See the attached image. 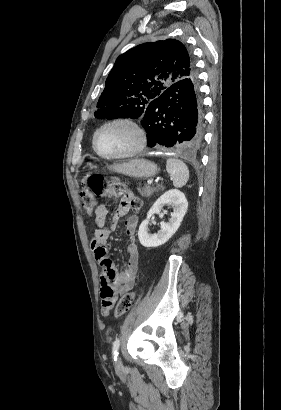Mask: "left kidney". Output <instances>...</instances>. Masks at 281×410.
Wrapping results in <instances>:
<instances>
[{"label":"left kidney","mask_w":281,"mask_h":410,"mask_svg":"<svg viewBox=\"0 0 281 410\" xmlns=\"http://www.w3.org/2000/svg\"><path fill=\"white\" fill-rule=\"evenodd\" d=\"M167 204H171L174 207L169 222H161L160 230L156 234L149 233L148 224L150 217L155 213H159L162 218L161 209ZM187 208V199L180 190L172 189L160 196L148 211L147 218L139 226L138 238L141 245L147 248H154L166 243L180 227Z\"/></svg>","instance_id":"left-kidney-1"}]
</instances>
